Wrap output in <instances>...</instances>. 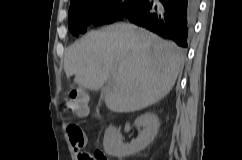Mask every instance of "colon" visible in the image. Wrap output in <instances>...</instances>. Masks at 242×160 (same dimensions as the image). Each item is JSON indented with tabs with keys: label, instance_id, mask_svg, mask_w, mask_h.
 Returning a JSON list of instances; mask_svg holds the SVG:
<instances>
[{
	"label": "colon",
	"instance_id": "colon-1",
	"mask_svg": "<svg viewBox=\"0 0 242 160\" xmlns=\"http://www.w3.org/2000/svg\"><path fill=\"white\" fill-rule=\"evenodd\" d=\"M63 108L66 112H85L88 110V102L86 95L77 90L68 92L63 100ZM67 133L70 136L73 144L82 147L84 144V133L80 126L75 123H68L66 127ZM82 160H108L105 154L100 151L94 153H84Z\"/></svg>",
	"mask_w": 242,
	"mask_h": 160
}]
</instances>
